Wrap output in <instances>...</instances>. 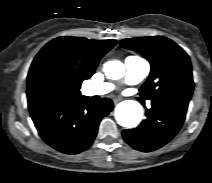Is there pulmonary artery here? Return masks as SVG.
I'll list each match as a JSON object with an SVG mask.
<instances>
[{
    "mask_svg": "<svg viewBox=\"0 0 212 183\" xmlns=\"http://www.w3.org/2000/svg\"><path fill=\"white\" fill-rule=\"evenodd\" d=\"M125 82L130 85L140 83L150 72V64L139 56H129L125 59ZM114 89L111 83H101L91 85L85 88L84 93L87 96H101Z\"/></svg>",
    "mask_w": 212,
    "mask_h": 183,
    "instance_id": "1",
    "label": "pulmonary artery"
}]
</instances>
